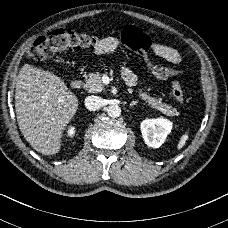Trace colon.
<instances>
[{
  "label": "colon",
  "instance_id": "obj_1",
  "mask_svg": "<svg viewBox=\"0 0 228 228\" xmlns=\"http://www.w3.org/2000/svg\"><path fill=\"white\" fill-rule=\"evenodd\" d=\"M98 41V38L74 28H61L38 38L30 50V56L40 61L52 57L58 51L87 50ZM172 94L176 100L184 101V92L179 81H173Z\"/></svg>",
  "mask_w": 228,
  "mask_h": 228
}]
</instances>
